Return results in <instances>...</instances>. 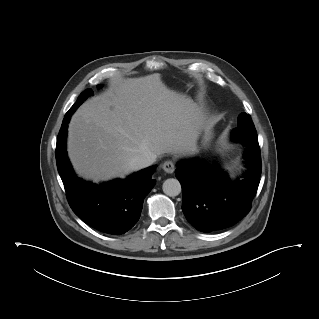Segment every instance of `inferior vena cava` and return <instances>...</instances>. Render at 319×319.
Listing matches in <instances>:
<instances>
[{"label":"inferior vena cava","instance_id":"1","mask_svg":"<svg viewBox=\"0 0 319 319\" xmlns=\"http://www.w3.org/2000/svg\"><path fill=\"white\" fill-rule=\"evenodd\" d=\"M156 160L154 155L138 156L132 159L129 163V167L133 171H137L152 165Z\"/></svg>","mask_w":319,"mask_h":319}]
</instances>
